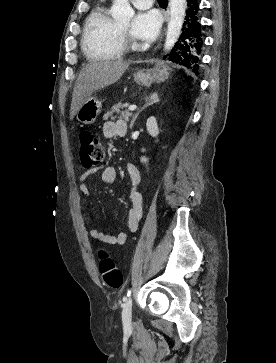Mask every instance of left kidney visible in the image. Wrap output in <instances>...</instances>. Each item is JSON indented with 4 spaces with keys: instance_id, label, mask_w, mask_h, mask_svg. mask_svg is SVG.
<instances>
[{
    "instance_id": "obj_1",
    "label": "left kidney",
    "mask_w": 276,
    "mask_h": 363,
    "mask_svg": "<svg viewBox=\"0 0 276 363\" xmlns=\"http://www.w3.org/2000/svg\"><path fill=\"white\" fill-rule=\"evenodd\" d=\"M146 127L149 135L152 137H157L159 134L158 124L155 117H150L147 119ZM148 159L146 157H141V162L146 163Z\"/></svg>"
}]
</instances>
